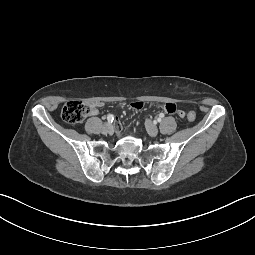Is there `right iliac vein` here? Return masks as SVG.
I'll list each match as a JSON object with an SVG mask.
<instances>
[{"label": "right iliac vein", "instance_id": "obj_1", "mask_svg": "<svg viewBox=\"0 0 255 255\" xmlns=\"http://www.w3.org/2000/svg\"><path fill=\"white\" fill-rule=\"evenodd\" d=\"M112 131V124L111 123H105L102 127V133L103 134H109Z\"/></svg>", "mask_w": 255, "mask_h": 255}]
</instances>
